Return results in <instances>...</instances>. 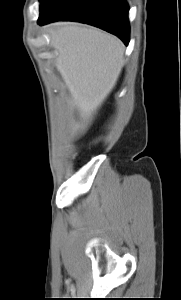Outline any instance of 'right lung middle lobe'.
<instances>
[{"label": "right lung middle lobe", "mask_w": 181, "mask_h": 300, "mask_svg": "<svg viewBox=\"0 0 181 300\" xmlns=\"http://www.w3.org/2000/svg\"><path fill=\"white\" fill-rule=\"evenodd\" d=\"M61 0H40V16L47 14Z\"/></svg>", "instance_id": "dd1d6c3e"}]
</instances>
